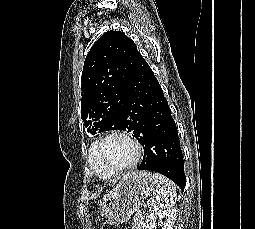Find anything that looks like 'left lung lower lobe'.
Wrapping results in <instances>:
<instances>
[{"mask_svg":"<svg viewBox=\"0 0 255 229\" xmlns=\"http://www.w3.org/2000/svg\"><path fill=\"white\" fill-rule=\"evenodd\" d=\"M121 119L143 145L138 170L161 173L183 191L186 178L177 127L158 80L143 57L125 92Z\"/></svg>","mask_w":255,"mask_h":229,"instance_id":"0a47b994","label":"left lung lower lobe"}]
</instances>
